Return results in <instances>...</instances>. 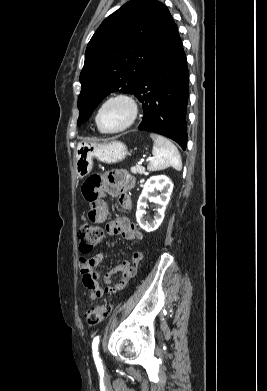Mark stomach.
<instances>
[{"instance_id":"0dacf381","label":"stomach","mask_w":267,"mask_h":391,"mask_svg":"<svg viewBox=\"0 0 267 391\" xmlns=\"http://www.w3.org/2000/svg\"><path fill=\"white\" fill-rule=\"evenodd\" d=\"M127 155V146L121 141L79 142L75 150L77 176L83 178L91 172L94 158L103 163L114 164L123 161Z\"/></svg>"}]
</instances>
